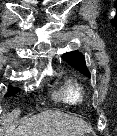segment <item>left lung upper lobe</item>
Here are the masks:
<instances>
[{"instance_id":"5c2ea615","label":"left lung upper lobe","mask_w":117,"mask_h":136,"mask_svg":"<svg viewBox=\"0 0 117 136\" xmlns=\"http://www.w3.org/2000/svg\"><path fill=\"white\" fill-rule=\"evenodd\" d=\"M64 59L75 69L90 77V73L85 66L84 56L80 52H68L63 55Z\"/></svg>"}]
</instances>
